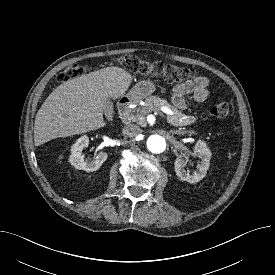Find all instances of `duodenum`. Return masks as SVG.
Returning a JSON list of instances; mask_svg holds the SVG:
<instances>
[{
	"mask_svg": "<svg viewBox=\"0 0 275 275\" xmlns=\"http://www.w3.org/2000/svg\"><path fill=\"white\" fill-rule=\"evenodd\" d=\"M134 98L127 96L120 99L118 102V111L121 118L126 119L130 106L133 104Z\"/></svg>",
	"mask_w": 275,
	"mask_h": 275,
	"instance_id": "1",
	"label": "duodenum"
}]
</instances>
